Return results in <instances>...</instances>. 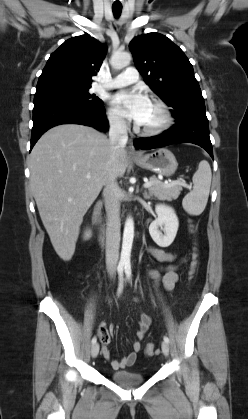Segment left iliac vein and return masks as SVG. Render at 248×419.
<instances>
[{"mask_svg": "<svg viewBox=\"0 0 248 419\" xmlns=\"http://www.w3.org/2000/svg\"><path fill=\"white\" fill-rule=\"evenodd\" d=\"M161 349H162V352H163V354H164L165 356H168V355H169V345H168V343H167V342L163 341V342L161 343Z\"/></svg>", "mask_w": 248, "mask_h": 419, "instance_id": "obj_1", "label": "left iliac vein"}]
</instances>
